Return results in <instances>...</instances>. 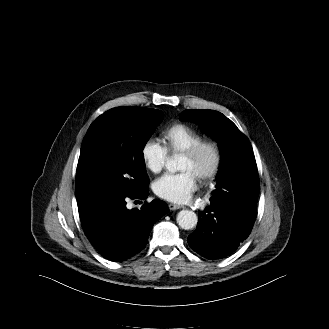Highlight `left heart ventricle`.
Here are the masks:
<instances>
[{
	"instance_id": "b2bd125f",
	"label": "left heart ventricle",
	"mask_w": 329,
	"mask_h": 329,
	"mask_svg": "<svg viewBox=\"0 0 329 329\" xmlns=\"http://www.w3.org/2000/svg\"><path fill=\"white\" fill-rule=\"evenodd\" d=\"M212 163V156L209 152H204L197 159H190L186 156H182L180 161V170H190L196 177L202 172L206 171Z\"/></svg>"
}]
</instances>
